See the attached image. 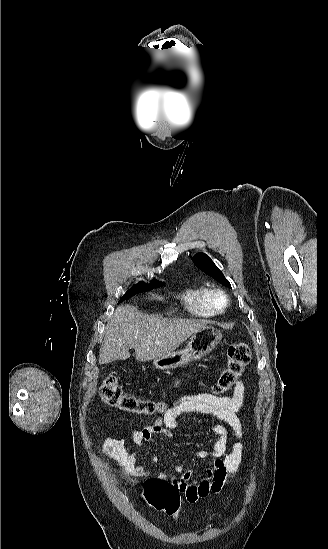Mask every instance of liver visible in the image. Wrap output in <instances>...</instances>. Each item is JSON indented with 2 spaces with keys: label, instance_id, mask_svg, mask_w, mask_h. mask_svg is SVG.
I'll list each match as a JSON object with an SVG mask.
<instances>
[{
  "label": "liver",
  "instance_id": "6515ba94",
  "mask_svg": "<svg viewBox=\"0 0 328 549\" xmlns=\"http://www.w3.org/2000/svg\"><path fill=\"white\" fill-rule=\"evenodd\" d=\"M207 327L197 319H163L159 315L139 313L136 307H117L106 325L99 363L129 359L134 349L137 361H151L168 355L187 341L193 333Z\"/></svg>",
  "mask_w": 328,
  "mask_h": 549
}]
</instances>
